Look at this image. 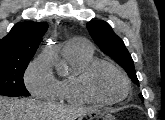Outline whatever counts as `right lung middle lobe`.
<instances>
[{"label": "right lung middle lobe", "instance_id": "1", "mask_svg": "<svg viewBox=\"0 0 165 120\" xmlns=\"http://www.w3.org/2000/svg\"><path fill=\"white\" fill-rule=\"evenodd\" d=\"M29 61L30 59L0 61V95L30 96L23 81Z\"/></svg>", "mask_w": 165, "mask_h": 120}]
</instances>
